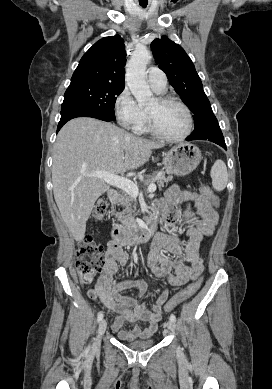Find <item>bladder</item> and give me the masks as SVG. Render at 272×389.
<instances>
[{"label": "bladder", "mask_w": 272, "mask_h": 389, "mask_svg": "<svg viewBox=\"0 0 272 389\" xmlns=\"http://www.w3.org/2000/svg\"><path fill=\"white\" fill-rule=\"evenodd\" d=\"M154 340L130 341L126 342L127 347L134 350H144L154 346Z\"/></svg>", "instance_id": "31cf9c89"}]
</instances>
